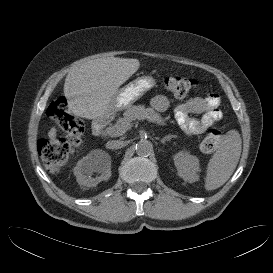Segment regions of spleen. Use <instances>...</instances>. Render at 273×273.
<instances>
[{
  "instance_id": "spleen-1",
  "label": "spleen",
  "mask_w": 273,
  "mask_h": 273,
  "mask_svg": "<svg viewBox=\"0 0 273 273\" xmlns=\"http://www.w3.org/2000/svg\"><path fill=\"white\" fill-rule=\"evenodd\" d=\"M241 137L238 131L227 132L224 141L207 164L205 189L221 187L233 174L241 155Z\"/></svg>"
}]
</instances>
